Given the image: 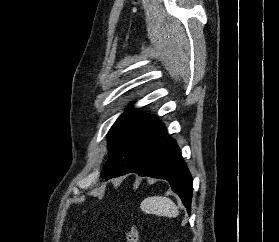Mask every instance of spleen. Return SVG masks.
Returning <instances> with one entry per match:
<instances>
[{
    "label": "spleen",
    "instance_id": "spleen-1",
    "mask_svg": "<svg viewBox=\"0 0 279 242\" xmlns=\"http://www.w3.org/2000/svg\"><path fill=\"white\" fill-rule=\"evenodd\" d=\"M141 209L149 214L176 217L179 214L177 205L168 197L152 196L144 199Z\"/></svg>",
    "mask_w": 279,
    "mask_h": 242
}]
</instances>
